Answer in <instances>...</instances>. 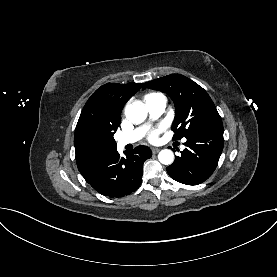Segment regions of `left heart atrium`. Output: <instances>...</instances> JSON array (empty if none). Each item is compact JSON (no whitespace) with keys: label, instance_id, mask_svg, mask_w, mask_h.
<instances>
[{"label":"left heart atrium","instance_id":"left-heart-atrium-1","mask_svg":"<svg viewBox=\"0 0 277 277\" xmlns=\"http://www.w3.org/2000/svg\"><path fill=\"white\" fill-rule=\"evenodd\" d=\"M161 130H162V127L152 131L149 135V140L152 141V142L156 141V139H157L159 133L161 132Z\"/></svg>","mask_w":277,"mask_h":277}]
</instances>
